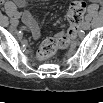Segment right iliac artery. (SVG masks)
<instances>
[{
    "label": "right iliac artery",
    "instance_id": "obj_1",
    "mask_svg": "<svg viewBox=\"0 0 103 103\" xmlns=\"http://www.w3.org/2000/svg\"><path fill=\"white\" fill-rule=\"evenodd\" d=\"M14 17H15V18H20V13L17 12V11H15V12H14Z\"/></svg>",
    "mask_w": 103,
    "mask_h": 103
}]
</instances>
